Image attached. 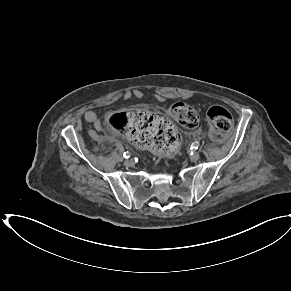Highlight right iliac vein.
Wrapping results in <instances>:
<instances>
[{
    "instance_id": "right-iliac-vein-1",
    "label": "right iliac vein",
    "mask_w": 291,
    "mask_h": 291,
    "mask_svg": "<svg viewBox=\"0 0 291 291\" xmlns=\"http://www.w3.org/2000/svg\"><path fill=\"white\" fill-rule=\"evenodd\" d=\"M125 166H128V167H132L134 165V162L130 159L126 160L124 162Z\"/></svg>"
}]
</instances>
